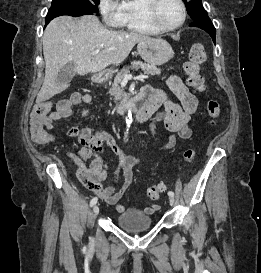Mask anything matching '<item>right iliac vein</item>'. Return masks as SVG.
<instances>
[{"instance_id":"right-iliac-vein-1","label":"right iliac vein","mask_w":261,"mask_h":273,"mask_svg":"<svg viewBox=\"0 0 261 273\" xmlns=\"http://www.w3.org/2000/svg\"><path fill=\"white\" fill-rule=\"evenodd\" d=\"M93 213H94L95 216L98 215V213H99V205L96 204V205L94 206V208H93Z\"/></svg>"}]
</instances>
